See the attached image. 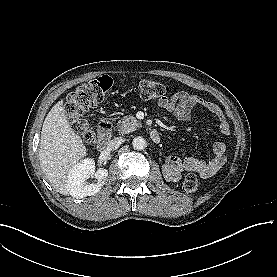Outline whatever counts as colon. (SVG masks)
<instances>
[{"label":"colon","instance_id":"1","mask_svg":"<svg viewBox=\"0 0 277 277\" xmlns=\"http://www.w3.org/2000/svg\"><path fill=\"white\" fill-rule=\"evenodd\" d=\"M112 85V79L103 76L78 87L68 96L66 111L71 125L86 143H93L94 135L87 120L84 118V114L104 100ZM139 91L144 98L162 99L168 93V87L158 81L143 80L139 85ZM197 185V179L193 176H188L184 181L183 190L186 193H193L197 189Z\"/></svg>","mask_w":277,"mask_h":277}]
</instances>
